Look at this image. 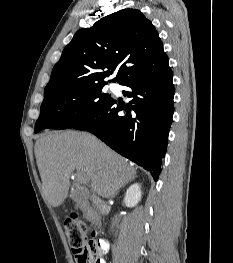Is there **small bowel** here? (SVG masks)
Returning a JSON list of instances; mask_svg holds the SVG:
<instances>
[{
    "mask_svg": "<svg viewBox=\"0 0 233 263\" xmlns=\"http://www.w3.org/2000/svg\"><path fill=\"white\" fill-rule=\"evenodd\" d=\"M99 242L101 245V254H102V257L100 258V263H106L104 256L108 254L110 245L109 242L104 239L99 240Z\"/></svg>",
    "mask_w": 233,
    "mask_h": 263,
    "instance_id": "1",
    "label": "small bowel"
}]
</instances>
